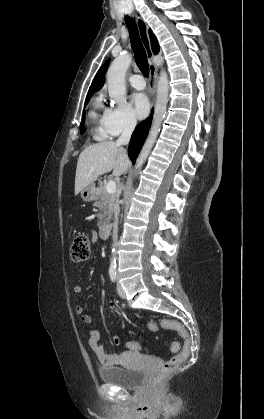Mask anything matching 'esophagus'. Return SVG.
Segmentation results:
<instances>
[{
	"instance_id": "34e87169",
	"label": "esophagus",
	"mask_w": 264,
	"mask_h": 419,
	"mask_svg": "<svg viewBox=\"0 0 264 419\" xmlns=\"http://www.w3.org/2000/svg\"><path fill=\"white\" fill-rule=\"evenodd\" d=\"M136 23L139 30L140 38L143 43V46L145 48V52L148 59L149 64V72H150V80H149V86L151 89V92L154 94L155 87H156V81H157V68L155 64L152 62L153 59V52L151 49L150 39L148 36L147 26L142 18L139 16H136Z\"/></svg>"
}]
</instances>
